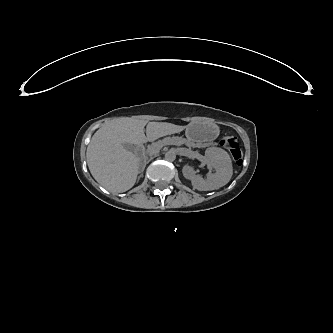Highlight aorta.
Returning <instances> with one entry per match:
<instances>
[{
  "label": "aorta",
  "mask_w": 333,
  "mask_h": 333,
  "mask_svg": "<svg viewBox=\"0 0 333 333\" xmlns=\"http://www.w3.org/2000/svg\"><path fill=\"white\" fill-rule=\"evenodd\" d=\"M176 159V153L172 150H169L165 153V160L173 162Z\"/></svg>",
  "instance_id": "1"
}]
</instances>
